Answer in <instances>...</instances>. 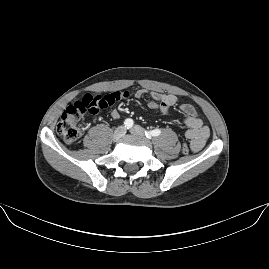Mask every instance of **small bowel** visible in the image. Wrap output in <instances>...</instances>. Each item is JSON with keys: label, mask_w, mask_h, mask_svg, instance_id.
Listing matches in <instances>:
<instances>
[{"label": "small bowel", "mask_w": 269, "mask_h": 269, "mask_svg": "<svg viewBox=\"0 0 269 269\" xmlns=\"http://www.w3.org/2000/svg\"><path fill=\"white\" fill-rule=\"evenodd\" d=\"M135 97L140 98L143 95H149L151 100L149 102V107L160 111L163 114H167L172 106L177 102L176 96L172 94H160L148 90H138L135 92ZM138 106V104H137ZM180 110L185 115L183 119V124L187 127L185 131V137L190 140V146L192 151H200L206 144L210 130L203 124V120L198 116L196 110L191 104L185 103L180 106ZM110 117L116 120L120 117L118 110H112L110 112Z\"/></svg>", "instance_id": "1"}]
</instances>
